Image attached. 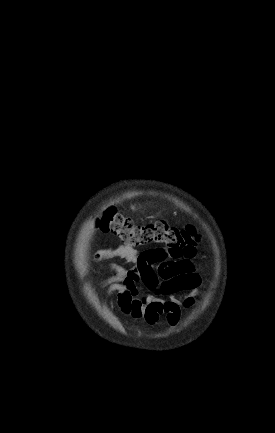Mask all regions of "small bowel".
I'll return each mask as SVG.
<instances>
[{
    "instance_id": "obj_1",
    "label": "small bowel",
    "mask_w": 275,
    "mask_h": 433,
    "mask_svg": "<svg viewBox=\"0 0 275 433\" xmlns=\"http://www.w3.org/2000/svg\"><path fill=\"white\" fill-rule=\"evenodd\" d=\"M115 257L134 264L125 269L112 264V273L102 282L108 296L115 295L121 312L150 325L165 316L168 324L178 323L182 308H189L198 293L201 277L196 271L194 255L175 260L166 259L163 249L136 251L116 246L98 251L95 260ZM142 287L146 291H142Z\"/></svg>"
}]
</instances>
